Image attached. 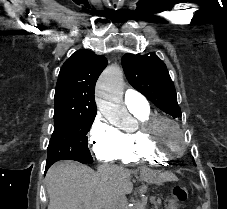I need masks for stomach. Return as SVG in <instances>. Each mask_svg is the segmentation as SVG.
<instances>
[{
  "mask_svg": "<svg viewBox=\"0 0 227 209\" xmlns=\"http://www.w3.org/2000/svg\"><path fill=\"white\" fill-rule=\"evenodd\" d=\"M145 180L148 181V182H151V183L161 184L158 176L155 175V174L146 175L145 176ZM167 208H169V209H176V202H175V200H173V199L169 200V204H168V207Z\"/></svg>",
  "mask_w": 227,
  "mask_h": 209,
  "instance_id": "0dacf381",
  "label": "stomach"
}]
</instances>
